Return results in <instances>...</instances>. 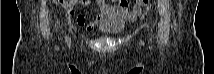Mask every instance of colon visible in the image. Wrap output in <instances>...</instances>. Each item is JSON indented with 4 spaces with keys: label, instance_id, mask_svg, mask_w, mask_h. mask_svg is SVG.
Listing matches in <instances>:
<instances>
[{
    "label": "colon",
    "instance_id": "colon-1",
    "mask_svg": "<svg viewBox=\"0 0 214 74\" xmlns=\"http://www.w3.org/2000/svg\"><path fill=\"white\" fill-rule=\"evenodd\" d=\"M76 2V1H73ZM139 5L144 6L148 3V0H137L136 1ZM121 3H127V1H121Z\"/></svg>",
    "mask_w": 214,
    "mask_h": 74
}]
</instances>
